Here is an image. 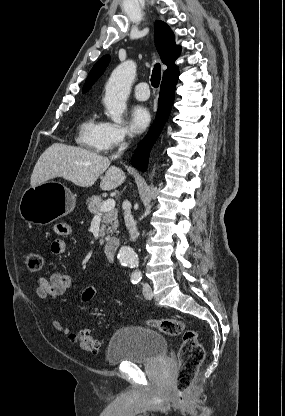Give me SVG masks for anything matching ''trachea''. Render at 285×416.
I'll return each mask as SVG.
<instances>
[{"mask_svg": "<svg viewBox=\"0 0 285 416\" xmlns=\"http://www.w3.org/2000/svg\"><path fill=\"white\" fill-rule=\"evenodd\" d=\"M161 80V67L159 63H156V65L153 68L152 76H151V84L154 88H157L160 84Z\"/></svg>", "mask_w": 285, "mask_h": 416, "instance_id": "1", "label": "trachea"}]
</instances>
